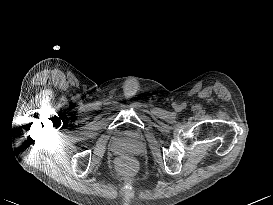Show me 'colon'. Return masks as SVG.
Returning a JSON list of instances; mask_svg holds the SVG:
<instances>
[{
    "instance_id": "1",
    "label": "colon",
    "mask_w": 273,
    "mask_h": 205,
    "mask_svg": "<svg viewBox=\"0 0 273 205\" xmlns=\"http://www.w3.org/2000/svg\"><path fill=\"white\" fill-rule=\"evenodd\" d=\"M118 168L122 173L127 174L133 170L134 162L130 158H122L118 162Z\"/></svg>"
}]
</instances>
